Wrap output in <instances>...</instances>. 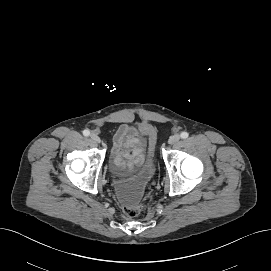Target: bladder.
I'll list each match as a JSON object with an SVG mask.
<instances>
[{
  "label": "bladder",
  "instance_id": "31cf9c89",
  "mask_svg": "<svg viewBox=\"0 0 271 271\" xmlns=\"http://www.w3.org/2000/svg\"><path fill=\"white\" fill-rule=\"evenodd\" d=\"M154 173L155 164L153 159L149 158L147 162L128 179L119 180L114 178L112 187L117 200L126 205L138 203L146 187L152 181Z\"/></svg>",
  "mask_w": 271,
  "mask_h": 271
}]
</instances>
